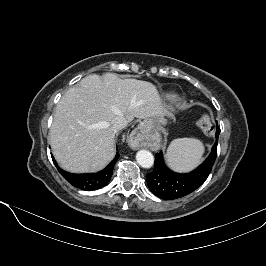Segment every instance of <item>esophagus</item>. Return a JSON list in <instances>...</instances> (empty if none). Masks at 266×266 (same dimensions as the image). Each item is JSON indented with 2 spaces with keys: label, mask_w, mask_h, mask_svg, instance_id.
Returning <instances> with one entry per match:
<instances>
[{
  "label": "esophagus",
  "mask_w": 266,
  "mask_h": 266,
  "mask_svg": "<svg viewBox=\"0 0 266 266\" xmlns=\"http://www.w3.org/2000/svg\"><path fill=\"white\" fill-rule=\"evenodd\" d=\"M146 137V126L144 124L139 125L137 128H135L130 135L128 136V145L132 149H138L140 148Z\"/></svg>",
  "instance_id": "esophagus-1"
}]
</instances>
